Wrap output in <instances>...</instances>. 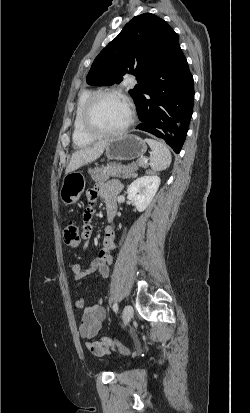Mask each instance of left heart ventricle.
<instances>
[{
  "label": "left heart ventricle",
  "mask_w": 250,
  "mask_h": 413,
  "mask_svg": "<svg viewBox=\"0 0 250 413\" xmlns=\"http://www.w3.org/2000/svg\"><path fill=\"white\" fill-rule=\"evenodd\" d=\"M130 118L127 104L120 98L104 96L93 109V124L101 131L112 132L125 126Z\"/></svg>",
  "instance_id": "obj_1"
}]
</instances>
